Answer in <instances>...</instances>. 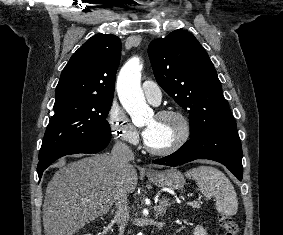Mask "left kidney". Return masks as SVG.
<instances>
[{
    "instance_id": "1",
    "label": "left kidney",
    "mask_w": 283,
    "mask_h": 235,
    "mask_svg": "<svg viewBox=\"0 0 283 235\" xmlns=\"http://www.w3.org/2000/svg\"><path fill=\"white\" fill-rule=\"evenodd\" d=\"M193 235H207V232L202 226H196Z\"/></svg>"
}]
</instances>
